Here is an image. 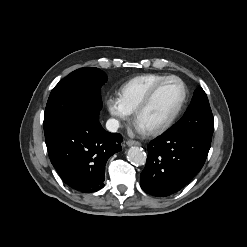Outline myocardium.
Instances as JSON below:
<instances>
[{
  "mask_svg": "<svg viewBox=\"0 0 247 247\" xmlns=\"http://www.w3.org/2000/svg\"><path fill=\"white\" fill-rule=\"evenodd\" d=\"M170 80H177L181 83L183 87V96L182 99L177 107V109L174 111V113L161 125L150 129L147 132L149 135H159L167 131L177 120V118L180 116L181 112L183 111L185 104L187 102L188 98V87L186 83L178 76L175 75H169L159 82H157L146 94V96L143 98V100L140 102V104L137 106L136 110L134 111V120L137 123L139 116L142 114V112L151 104L153 98L155 97L158 90L168 81Z\"/></svg>",
  "mask_w": 247,
  "mask_h": 247,
  "instance_id": "f54148a6",
  "label": "myocardium"
}]
</instances>
